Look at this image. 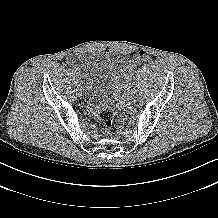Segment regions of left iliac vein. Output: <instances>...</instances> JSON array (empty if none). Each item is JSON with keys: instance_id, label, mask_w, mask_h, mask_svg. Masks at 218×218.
I'll list each match as a JSON object with an SVG mask.
<instances>
[{"instance_id": "left-iliac-vein-1", "label": "left iliac vein", "mask_w": 218, "mask_h": 218, "mask_svg": "<svg viewBox=\"0 0 218 218\" xmlns=\"http://www.w3.org/2000/svg\"><path fill=\"white\" fill-rule=\"evenodd\" d=\"M132 99H133V98L130 96V97L127 98V101H128V102H131Z\"/></svg>"}]
</instances>
